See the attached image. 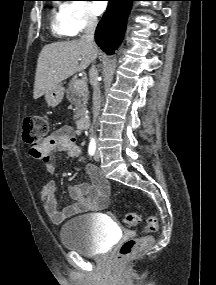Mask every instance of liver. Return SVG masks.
I'll return each instance as SVG.
<instances>
[{
  "mask_svg": "<svg viewBox=\"0 0 216 285\" xmlns=\"http://www.w3.org/2000/svg\"><path fill=\"white\" fill-rule=\"evenodd\" d=\"M94 51L97 53L96 46L92 49L81 39L45 45L38 57L33 98H40L63 80L86 69Z\"/></svg>",
  "mask_w": 216,
  "mask_h": 285,
  "instance_id": "obj_1",
  "label": "liver"
}]
</instances>
